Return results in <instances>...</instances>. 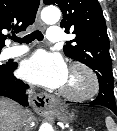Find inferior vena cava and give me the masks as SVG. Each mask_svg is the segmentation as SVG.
<instances>
[{
    "label": "inferior vena cava",
    "instance_id": "1",
    "mask_svg": "<svg viewBox=\"0 0 117 131\" xmlns=\"http://www.w3.org/2000/svg\"><path fill=\"white\" fill-rule=\"evenodd\" d=\"M32 91H28V93L30 94ZM28 115V111L27 110H23V119ZM23 121V120H22ZM22 123V122H21ZM21 123L19 124V127L16 131H19Z\"/></svg>",
    "mask_w": 117,
    "mask_h": 131
}]
</instances>
